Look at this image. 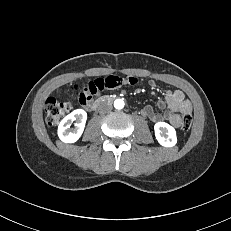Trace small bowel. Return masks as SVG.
I'll list each match as a JSON object with an SVG mask.
<instances>
[{
  "label": "small bowel",
  "instance_id": "1",
  "mask_svg": "<svg viewBox=\"0 0 231 231\" xmlns=\"http://www.w3.org/2000/svg\"><path fill=\"white\" fill-rule=\"evenodd\" d=\"M136 85L138 79L135 77H129L128 79L123 76H111L106 75L102 77H96L86 81L81 88L77 91L76 96L78 103L89 108L93 99V95L98 92L116 91L126 85ZM154 80L150 81L152 88L156 87ZM159 109H167L162 115L154 112L151 106H146L142 110V114L152 122L168 121L174 127H179L181 124V116L191 114L192 105L189 100L185 98L184 93L181 90H167L164 99L157 102Z\"/></svg>",
  "mask_w": 231,
  "mask_h": 231
}]
</instances>
